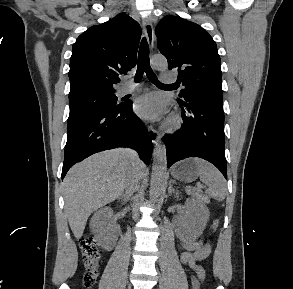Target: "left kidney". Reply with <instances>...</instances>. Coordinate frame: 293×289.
Masks as SVG:
<instances>
[{
	"label": "left kidney",
	"instance_id": "obj_1",
	"mask_svg": "<svg viewBox=\"0 0 293 289\" xmlns=\"http://www.w3.org/2000/svg\"><path fill=\"white\" fill-rule=\"evenodd\" d=\"M209 210L203 204L188 202L182 223L177 228L178 237L182 241H194L203 232L209 219Z\"/></svg>",
	"mask_w": 293,
	"mask_h": 289
}]
</instances>
